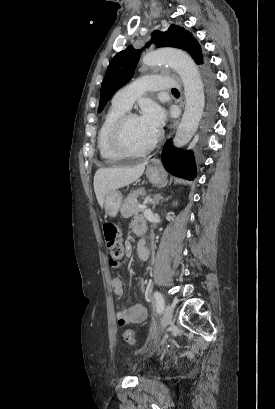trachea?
<instances>
[{
    "label": "trachea",
    "mask_w": 275,
    "mask_h": 409,
    "mask_svg": "<svg viewBox=\"0 0 275 409\" xmlns=\"http://www.w3.org/2000/svg\"><path fill=\"white\" fill-rule=\"evenodd\" d=\"M171 91L172 92H178V90L176 88H172Z\"/></svg>",
    "instance_id": "obj_1"
}]
</instances>
